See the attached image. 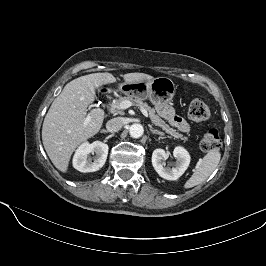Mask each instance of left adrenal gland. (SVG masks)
I'll return each instance as SVG.
<instances>
[{"mask_svg": "<svg viewBox=\"0 0 266 266\" xmlns=\"http://www.w3.org/2000/svg\"><path fill=\"white\" fill-rule=\"evenodd\" d=\"M150 131H151L153 134H158V135H162V136L164 135L163 132L154 129L152 126H150Z\"/></svg>", "mask_w": 266, "mask_h": 266, "instance_id": "obj_1", "label": "left adrenal gland"}]
</instances>
